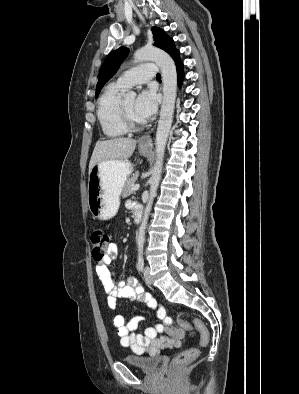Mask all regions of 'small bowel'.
I'll return each instance as SVG.
<instances>
[{
  "mask_svg": "<svg viewBox=\"0 0 299 394\" xmlns=\"http://www.w3.org/2000/svg\"><path fill=\"white\" fill-rule=\"evenodd\" d=\"M129 206H132L129 204ZM118 247L111 244L107 255L96 264V273L108 294L107 302L111 309H116L119 298L138 301L156 311L160 319L143 333H135V330L143 321V317L135 316L128 323L123 315H116L113 326L117 329L120 344L130 348L137 354L148 353L156 355L161 350L179 347L185 337V329L180 325H174L172 319L167 316L165 307L149 292L145 291L136 277L121 278L109 268L117 257Z\"/></svg>",
  "mask_w": 299,
  "mask_h": 394,
  "instance_id": "c3829d8e",
  "label": "small bowel"
}]
</instances>
